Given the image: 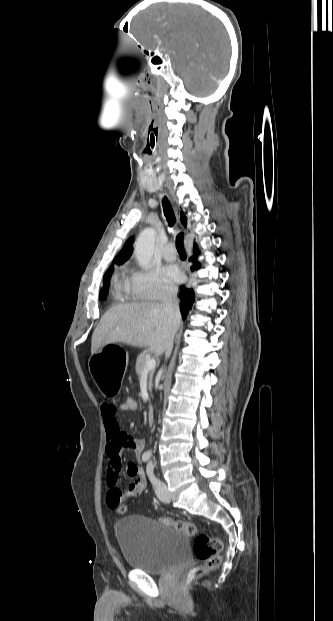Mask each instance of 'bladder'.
<instances>
[{
    "label": "bladder",
    "instance_id": "bladder-1",
    "mask_svg": "<svg viewBox=\"0 0 333 621\" xmlns=\"http://www.w3.org/2000/svg\"><path fill=\"white\" fill-rule=\"evenodd\" d=\"M115 534L126 564L148 574L169 573L189 553L186 534L144 515H131L118 520Z\"/></svg>",
    "mask_w": 333,
    "mask_h": 621
}]
</instances>
